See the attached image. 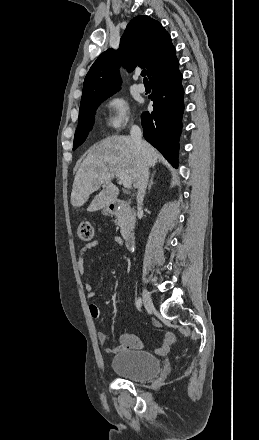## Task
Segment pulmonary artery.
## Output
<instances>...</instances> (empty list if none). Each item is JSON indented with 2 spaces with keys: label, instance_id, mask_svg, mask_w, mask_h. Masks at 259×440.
I'll list each match as a JSON object with an SVG mask.
<instances>
[{
  "label": "pulmonary artery",
  "instance_id": "1",
  "mask_svg": "<svg viewBox=\"0 0 259 440\" xmlns=\"http://www.w3.org/2000/svg\"><path fill=\"white\" fill-rule=\"evenodd\" d=\"M136 88H137V90H138L139 92H141V93L145 92V86H144L143 83H138V84L136 85Z\"/></svg>",
  "mask_w": 259,
  "mask_h": 440
}]
</instances>
